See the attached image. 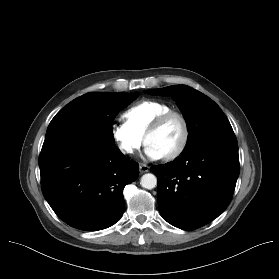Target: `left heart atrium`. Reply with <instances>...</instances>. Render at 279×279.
<instances>
[{"instance_id":"1","label":"left heart atrium","mask_w":279,"mask_h":279,"mask_svg":"<svg viewBox=\"0 0 279 279\" xmlns=\"http://www.w3.org/2000/svg\"><path fill=\"white\" fill-rule=\"evenodd\" d=\"M145 154L148 158L152 160H158L163 157L162 154L158 150H156L152 145L147 144L145 148Z\"/></svg>"}]
</instances>
